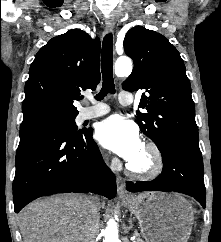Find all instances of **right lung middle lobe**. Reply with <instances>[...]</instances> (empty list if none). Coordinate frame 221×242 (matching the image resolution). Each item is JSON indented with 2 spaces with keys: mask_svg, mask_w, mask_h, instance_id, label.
I'll list each match as a JSON object with an SVG mask.
<instances>
[{
  "mask_svg": "<svg viewBox=\"0 0 221 242\" xmlns=\"http://www.w3.org/2000/svg\"><path fill=\"white\" fill-rule=\"evenodd\" d=\"M76 116L77 115H72V116L60 117V118H55L50 120H44V121L34 123L32 125L55 126L58 128L67 129L72 133H77V132H81L82 130L77 129V126L75 123ZM32 125H29V126H32Z\"/></svg>",
  "mask_w": 221,
  "mask_h": 242,
  "instance_id": "1",
  "label": "right lung middle lobe"
}]
</instances>
